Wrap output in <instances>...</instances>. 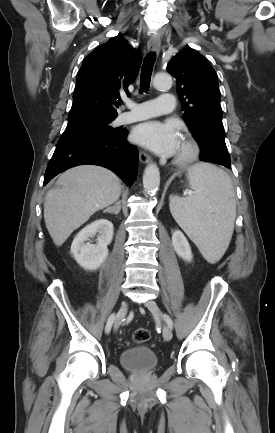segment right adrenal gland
<instances>
[{
  "label": "right adrenal gland",
  "mask_w": 275,
  "mask_h": 433,
  "mask_svg": "<svg viewBox=\"0 0 275 433\" xmlns=\"http://www.w3.org/2000/svg\"><path fill=\"white\" fill-rule=\"evenodd\" d=\"M121 210V201H117L113 206L108 207L106 210H104L103 212L106 213H111V214H118Z\"/></svg>",
  "instance_id": "right-adrenal-gland-1"
}]
</instances>
